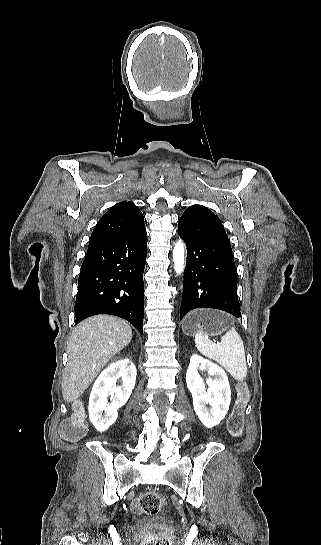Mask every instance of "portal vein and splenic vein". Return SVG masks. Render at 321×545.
Wrapping results in <instances>:
<instances>
[{
    "mask_svg": "<svg viewBox=\"0 0 321 545\" xmlns=\"http://www.w3.org/2000/svg\"><path fill=\"white\" fill-rule=\"evenodd\" d=\"M214 343H215L216 345H217V344H221V341H217V340H216Z\"/></svg>",
    "mask_w": 321,
    "mask_h": 545,
    "instance_id": "1",
    "label": "portal vein and splenic vein"
}]
</instances>
